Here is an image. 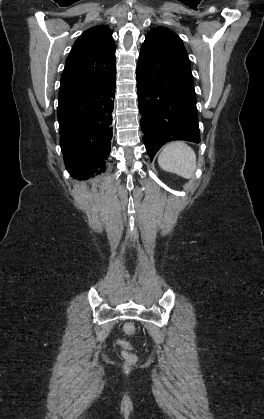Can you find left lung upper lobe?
Instances as JSON below:
<instances>
[{"label":"left lung upper lobe","mask_w":264,"mask_h":419,"mask_svg":"<svg viewBox=\"0 0 264 419\" xmlns=\"http://www.w3.org/2000/svg\"><path fill=\"white\" fill-rule=\"evenodd\" d=\"M148 36H168L172 39L173 43L175 44V47L178 49V51L183 54L186 58L187 64L190 67V62L186 53V50L184 48L183 42L182 40L171 30L166 29V28H162V27H158L155 29H152L147 35Z\"/></svg>","instance_id":"1"}]
</instances>
